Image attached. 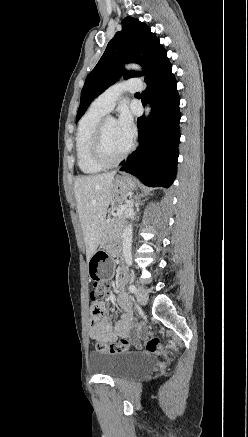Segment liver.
Segmentation results:
<instances>
[{
  "mask_svg": "<svg viewBox=\"0 0 248 437\" xmlns=\"http://www.w3.org/2000/svg\"><path fill=\"white\" fill-rule=\"evenodd\" d=\"M116 172L81 176L74 183V193L86 246V258L90 260L103 236L107 209L114 191Z\"/></svg>",
  "mask_w": 248,
  "mask_h": 437,
  "instance_id": "1",
  "label": "liver"
}]
</instances>
